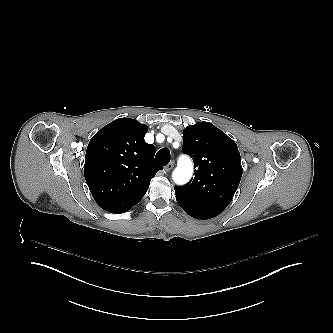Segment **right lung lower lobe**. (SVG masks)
<instances>
[{
  "label": "right lung lower lobe",
  "instance_id": "obj_1",
  "mask_svg": "<svg viewBox=\"0 0 333 333\" xmlns=\"http://www.w3.org/2000/svg\"><path fill=\"white\" fill-rule=\"evenodd\" d=\"M147 189L139 191H134V190L128 191L124 195L119 196L118 199L113 204L108 206V208L104 207L102 208L111 213L126 212L142 199Z\"/></svg>",
  "mask_w": 333,
  "mask_h": 333
}]
</instances>
